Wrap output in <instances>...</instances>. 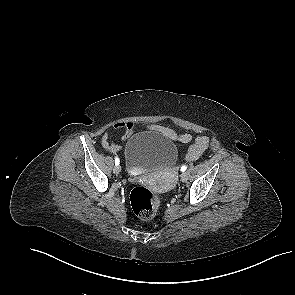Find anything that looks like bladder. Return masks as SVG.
I'll use <instances>...</instances> for the list:
<instances>
[{"mask_svg": "<svg viewBox=\"0 0 295 295\" xmlns=\"http://www.w3.org/2000/svg\"><path fill=\"white\" fill-rule=\"evenodd\" d=\"M177 159L176 145L157 131L134 135L124 148V162L129 173L167 169L174 166Z\"/></svg>", "mask_w": 295, "mask_h": 295, "instance_id": "bladder-1", "label": "bladder"}]
</instances>
